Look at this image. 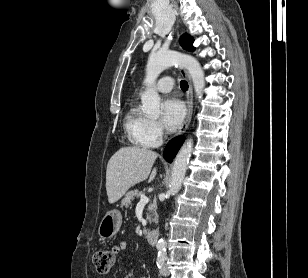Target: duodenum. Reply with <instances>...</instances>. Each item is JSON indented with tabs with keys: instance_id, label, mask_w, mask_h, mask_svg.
Instances as JSON below:
<instances>
[{
	"instance_id": "obj_1",
	"label": "duodenum",
	"mask_w": 308,
	"mask_h": 278,
	"mask_svg": "<svg viewBox=\"0 0 308 278\" xmlns=\"http://www.w3.org/2000/svg\"><path fill=\"white\" fill-rule=\"evenodd\" d=\"M158 237H159L158 230L153 229L147 234V241L150 245H155L157 243Z\"/></svg>"
}]
</instances>
